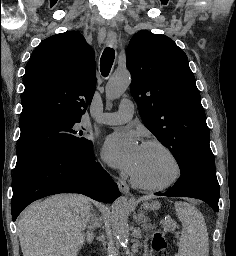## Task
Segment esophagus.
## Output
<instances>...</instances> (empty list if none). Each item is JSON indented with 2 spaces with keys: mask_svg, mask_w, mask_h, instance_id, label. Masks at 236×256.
<instances>
[{
  "mask_svg": "<svg viewBox=\"0 0 236 256\" xmlns=\"http://www.w3.org/2000/svg\"><path fill=\"white\" fill-rule=\"evenodd\" d=\"M108 38H109L110 43H115L116 38H117V35L114 33V34L108 35ZM118 187H119L121 193L130 194L131 196H133V195L130 193V188H129V186L127 185L126 181H124V180H122V179L119 180V181H118Z\"/></svg>",
  "mask_w": 236,
  "mask_h": 256,
  "instance_id": "obj_1",
  "label": "esophagus"
}]
</instances>
